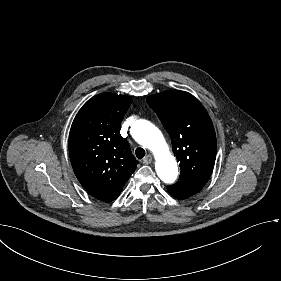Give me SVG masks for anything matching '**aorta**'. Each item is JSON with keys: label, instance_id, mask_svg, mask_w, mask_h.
<instances>
[{"label": "aorta", "instance_id": "aorta-1", "mask_svg": "<svg viewBox=\"0 0 281 281\" xmlns=\"http://www.w3.org/2000/svg\"><path fill=\"white\" fill-rule=\"evenodd\" d=\"M132 131L136 141L153 152L158 177L167 184L173 183L178 176L177 162L171 155L161 131L146 120L136 121Z\"/></svg>", "mask_w": 281, "mask_h": 281}]
</instances>
